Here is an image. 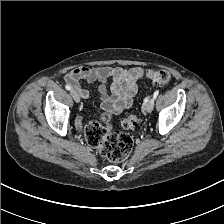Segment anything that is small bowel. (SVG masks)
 Returning a JSON list of instances; mask_svg holds the SVG:
<instances>
[{"label":"small bowel","instance_id":"1","mask_svg":"<svg viewBox=\"0 0 224 224\" xmlns=\"http://www.w3.org/2000/svg\"><path fill=\"white\" fill-rule=\"evenodd\" d=\"M140 67H79L65 75V81L75 88L82 99L89 98V91L82 87V82H98L101 106L107 112L119 113L133 105V97L137 93L138 81L142 77ZM109 84V85H108ZM83 116L76 118V126H83Z\"/></svg>","mask_w":224,"mask_h":224}]
</instances>
